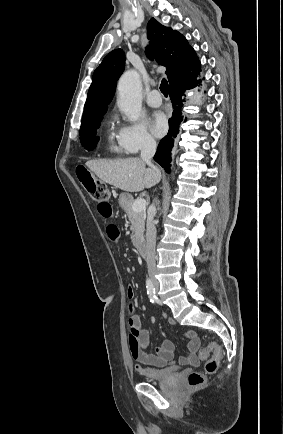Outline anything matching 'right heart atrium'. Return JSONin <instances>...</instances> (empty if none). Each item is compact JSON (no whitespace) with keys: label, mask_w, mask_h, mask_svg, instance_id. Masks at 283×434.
I'll list each match as a JSON object with an SVG mask.
<instances>
[{"label":"right heart atrium","mask_w":283,"mask_h":434,"mask_svg":"<svg viewBox=\"0 0 283 434\" xmlns=\"http://www.w3.org/2000/svg\"><path fill=\"white\" fill-rule=\"evenodd\" d=\"M118 142L122 151L127 154H137L156 144L154 137L143 121L121 126L118 131Z\"/></svg>","instance_id":"1"}]
</instances>
